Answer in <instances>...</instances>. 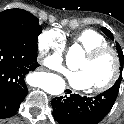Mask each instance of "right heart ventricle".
I'll use <instances>...</instances> for the list:
<instances>
[{
	"label": "right heart ventricle",
	"instance_id": "1",
	"mask_svg": "<svg viewBox=\"0 0 124 124\" xmlns=\"http://www.w3.org/2000/svg\"><path fill=\"white\" fill-rule=\"evenodd\" d=\"M73 45L81 48L84 52L98 46L108 45L104 35L93 29H84L72 36Z\"/></svg>",
	"mask_w": 124,
	"mask_h": 124
}]
</instances>
